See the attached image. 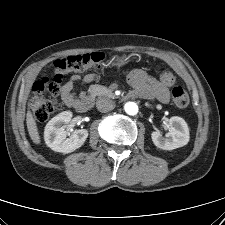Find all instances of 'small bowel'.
<instances>
[{
	"instance_id": "obj_1",
	"label": "small bowel",
	"mask_w": 225,
	"mask_h": 225,
	"mask_svg": "<svg viewBox=\"0 0 225 225\" xmlns=\"http://www.w3.org/2000/svg\"><path fill=\"white\" fill-rule=\"evenodd\" d=\"M96 79L91 73L84 75H72L68 81L61 87V99L65 105L74 107L76 102L83 97V93L77 94L74 90L78 85H86ZM128 82L133 87V95L151 99L156 98L160 102L167 103L169 101L168 84L157 80L147 72L136 69L129 73Z\"/></svg>"
}]
</instances>
